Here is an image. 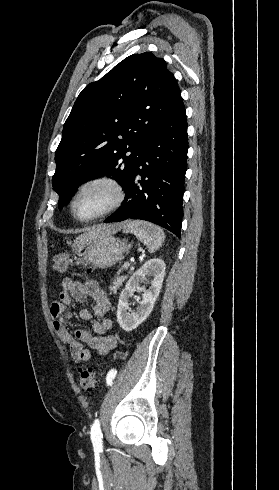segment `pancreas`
Here are the masks:
<instances>
[{
  "label": "pancreas",
  "instance_id": "pancreas-1",
  "mask_svg": "<svg viewBox=\"0 0 279 490\" xmlns=\"http://www.w3.org/2000/svg\"><path fill=\"white\" fill-rule=\"evenodd\" d=\"M124 280H125L124 276H119V272H118V276L116 280H113L112 286H110V290H113V292H117L118 288L122 286V282H124Z\"/></svg>",
  "mask_w": 279,
  "mask_h": 490
}]
</instances>
